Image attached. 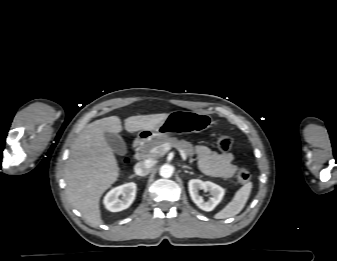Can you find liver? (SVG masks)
Instances as JSON below:
<instances>
[{
  "label": "liver",
  "instance_id": "1",
  "mask_svg": "<svg viewBox=\"0 0 337 261\" xmlns=\"http://www.w3.org/2000/svg\"><path fill=\"white\" fill-rule=\"evenodd\" d=\"M167 116V113L131 116L125 119V129L131 133L150 130ZM121 131V120L117 116L88 124L76 138L66 163L67 199L93 226L103 223L100 198L120 175L117 159L104 133L118 134Z\"/></svg>",
  "mask_w": 337,
  "mask_h": 261
}]
</instances>
